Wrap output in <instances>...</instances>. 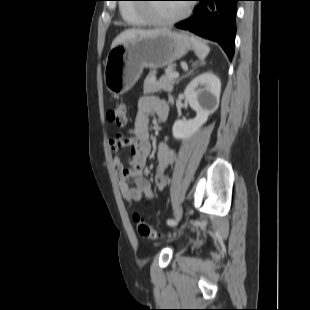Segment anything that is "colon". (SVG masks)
<instances>
[{"label": "colon", "instance_id": "obj_1", "mask_svg": "<svg viewBox=\"0 0 310 310\" xmlns=\"http://www.w3.org/2000/svg\"><path fill=\"white\" fill-rule=\"evenodd\" d=\"M107 118L118 127H125L127 124V105L124 102L116 103L108 110ZM133 219L137 232L142 238L152 240L160 238V233L149 226L137 212L133 214Z\"/></svg>", "mask_w": 310, "mask_h": 310}]
</instances>
